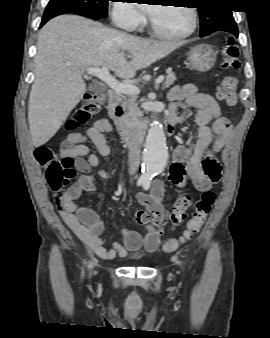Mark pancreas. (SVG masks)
Returning <instances> with one entry per match:
<instances>
[{"mask_svg":"<svg viewBox=\"0 0 270 338\" xmlns=\"http://www.w3.org/2000/svg\"><path fill=\"white\" fill-rule=\"evenodd\" d=\"M174 72H169L163 83V89L169 88L176 81ZM122 109L124 113L118 119V126L120 130L125 127L135 126L140 123L143 112L139 109L136 96H128L122 102Z\"/></svg>","mask_w":270,"mask_h":338,"instance_id":"pancreas-1","label":"pancreas"}]
</instances>
